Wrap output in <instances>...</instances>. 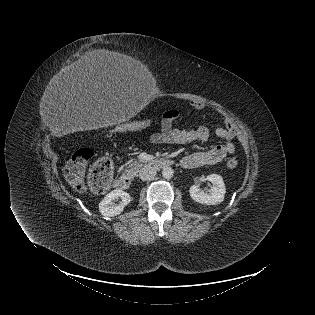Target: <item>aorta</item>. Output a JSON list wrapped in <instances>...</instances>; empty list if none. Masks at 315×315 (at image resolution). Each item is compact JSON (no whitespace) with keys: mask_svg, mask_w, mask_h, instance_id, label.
Segmentation results:
<instances>
[{"mask_svg":"<svg viewBox=\"0 0 315 315\" xmlns=\"http://www.w3.org/2000/svg\"><path fill=\"white\" fill-rule=\"evenodd\" d=\"M174 175V170L171 167H166L162 170V176L165 179H171Z\"/></svg>","mask_w":315,"mask_h":315,"instance_id":"obj_1","label":"aorta"}]
</instances>
